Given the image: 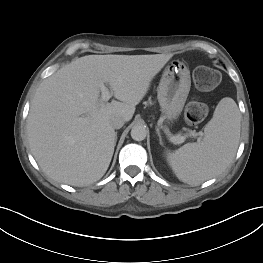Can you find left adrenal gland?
<instances>
[{"instance_id":"obj_1","label":"left adrenal gland","mask_w":263,"mask_h":263,"mask_svg":"<svg viewBox=\"0 0 263 263\" xmlns=\"http://www.w3.org/2000/svg\"><path fill=\"white\" fill-rule=\"evenodd\" d=\"M156 132H157V135H158V137H159L160 145H163V143H162V137H161V134H160V131H159L158 128H156Z\"/></svg>"}]
</instances>
